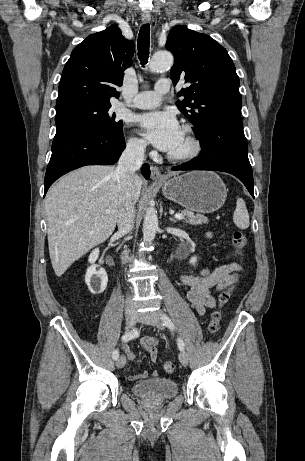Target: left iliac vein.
<instances>
[{
  "label": "left iliac vein",
  "mask_w": 305,
  "mask_h": 461,
  "mask_svg": "<svg viewBox=\"0 0 305 461\" xmlns=\"http://www.w3.org/2000/svg\"><path fill=\"white\" fill-rule=\"evenodd\" d=\"M138 320L144 324L155 326L158 329L163 328L160 314L155 311L138 314ZM179 360L184 367L188 365V354L184 350H181L179 354Z\"/></svg>",
  "instance_id": "obj_1"
}]
</instances>
